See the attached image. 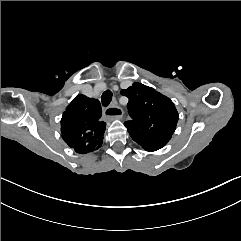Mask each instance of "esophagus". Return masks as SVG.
<instances>
[{
  "label": "esophagus",
  "mask_w": 241,
  "mask_h": 241,
  "mask_svg": "<svg viewBox=\"0 0 241 241\" xmlns=\"http://www.w3.org/2000/svg\"><path fill=\"white\" fill-rule=\"evenodd\" d=\"M106 119H120L123 115V109L115 104H111L103 111Z\"/></svg>",
  "instance_id": "obj_1"
}]
</instances>
